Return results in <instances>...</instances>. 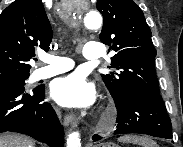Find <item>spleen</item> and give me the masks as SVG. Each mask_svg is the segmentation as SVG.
Wrapping results in <instances>:
<instances>
[{"mask_svg": "<svg viewBox=\"0 0 183 147\" xmlns=\"http://www.w3.org/2000/svg\"><path fill=\"white\" fill-rule=\"evenodd\" d=\"M119 140L122 142L138 144L142 147H158L156 142L146 136H124Z\"/></svg>", "mask_w": 183, "mask_h": 147, "instance_id": "3e777b00", "label": "spleen"}]
</instances>
